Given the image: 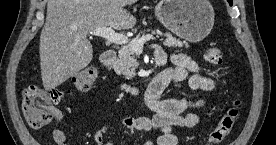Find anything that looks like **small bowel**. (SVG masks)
I'll return each instance as SVG.
<instances>
[{
  "mask_svg": "<svg viewBox=\"0 0 276 145\" xmlns=\"http://www.w3.org/2000/svg\"><path fill=\"white\" fill-rule=\"evenodd\" d=\"M161 55L168 58L162 50H156V56ZM172 67L165 69L160 74L168 79V83L187 82L194 90L212 91L215 89V82L199 73V66L189 56L183 53H176L170 56ZM163 89H157L152 81L149 83L145 93L144 102L146 107L153 112V115L132 117L126 116L122 119V125L131 134L138 132H159L144 145H177L178 137L175 128L194 127L199 117L192 112L200 102H192L182 98H162ZM63 118L60 112H56L55 128L52 137L56 145H67V136L62 129ZM109 126H104L94 131L92 138L96 145H111L105 140Z\"/></svg>",
  "mask_w": 276,
  "mask_h": 145,
  "instance_id": "1",
  "label": "small bowel"
}]
</instances>
